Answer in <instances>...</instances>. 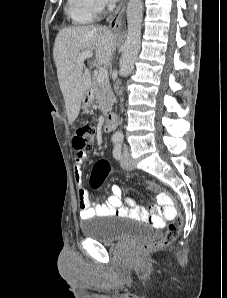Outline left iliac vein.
I'll list each match as a JSON object with an SVG mask.
<instances>
[{
  "mask_svg": "<svg viewBox=\"0 0 227 298\" xmlns=\"http://www.w3.org/2000/svg\"><path fill=\"white\" fill-rule=\"evenodd\" d=\"M121 166L126 170H132L134 168L132 159H131V154L128 149H125L123 152L122 159H121Z\"/></svg>",
  "mask_w": 227,
  "mask_h": 298,
  "instance_id": "left-iliac-vein-1",
  "label": "left iliac vein"
}]
</instances>
